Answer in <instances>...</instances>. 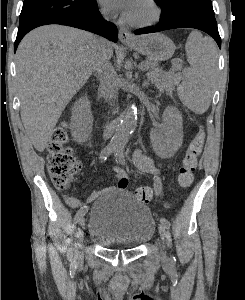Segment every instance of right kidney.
Instances as JSON below:
<instances>
[{"mask_svg": "<svg viewBox=\"0 0 245 300\" xmlns=\"http://www.w3.org/2000/svg\"><path fill=\"white\" fill-rule=\"evenodd\" d=\"M93 126L90 102L86 97L79 99L72 108L71 134L73 139L82 143L85 142Z\"/></svg>", "mask_w": 245, "mask_h": 300, "instance_id": "right-kidney-1", "label": "right kidney"}]
</instances>
